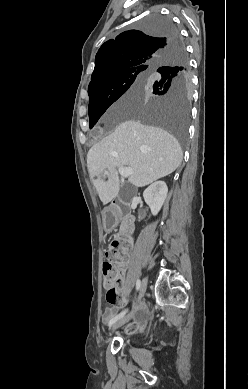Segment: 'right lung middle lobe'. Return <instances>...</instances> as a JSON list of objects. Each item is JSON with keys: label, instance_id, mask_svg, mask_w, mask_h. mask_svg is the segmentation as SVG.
<instances>
[{"label": "right lung middle lobe", "instance_id": "dd1d6c3e", "mask_svg": "<svg viewBox=\"0 0 248 389\" xmlns=\"http://www.w3.org/2000/svg\"><path fill=\"white\" fill-rule=\"evenodd\" d=\"M140 28L153 36L177 33L171 19L158 14L145 17ZM141 82H148L149 90L159 98L144 103L120 104L116 113L161 126L185 145L191 103L190 72L186 56L176 53L165 56L164 61L150 70L135 68L116 72L107 83L88 92L90 128L132 85Z\"/></svg>", "mask_w": 248, "mask_h": 389}]
</instances>
